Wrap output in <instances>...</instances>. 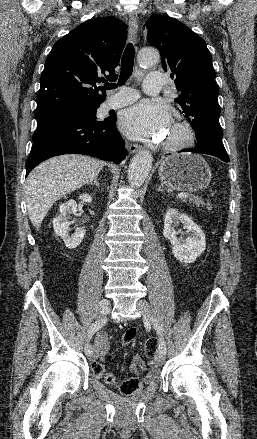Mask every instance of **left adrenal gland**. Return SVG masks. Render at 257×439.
Listing matches in <instances>:
<instances>
[{
  "label": "left adrenal gland",
  "instance_id": "a2214340",
  "mask_svg": "<svg viewBox=\"0 0 257 439\" xmlns=\"http://www.w3.org/2000/svg\"><path fill=\"white\" fill-rule=\"evenodd\" d=\"M158 192H164V190L162 189V185L159 186V188L157 189Z\"/></svg>",
  "mask_w": 257,
  "mask_h": 439
}]
</instances>
